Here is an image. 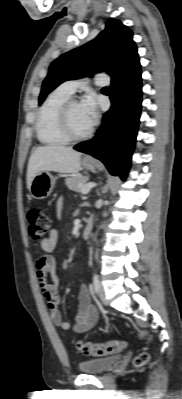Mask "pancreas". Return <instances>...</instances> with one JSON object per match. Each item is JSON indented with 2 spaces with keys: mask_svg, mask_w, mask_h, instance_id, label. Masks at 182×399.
Segmentation results:
<instances>
[{
  "mask_svg": "<svg viewBox=\"0 0 182 399\" xmlns=\"http://www.w3.org/2000/svg\"><path fill=\"white\" fill-rule=\"evenodd\" d=\"M87 180H88L87 176H82V175L73 176V177H68L65 180V184L70 190L81 192L82 189L81 187L85 185Z\"/></svg>",
  "mask_w": 182,
  "mask_h": 399,
  "instance_id": "pancreas-1",
  "label": "pancreas"
}]
</instances>
